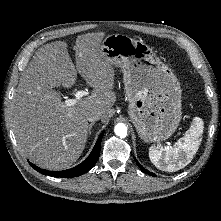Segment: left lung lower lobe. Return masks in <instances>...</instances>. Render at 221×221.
Here are the masks:
<instances>
[{"mask_svg":"<svg viewBox=\"0 0 221 221\" xmlns=\"http://www.w3.org/2000/svg\"><path fill=\"white\" fill-rule=\"evenodd\" d=\"M135 161H136V164L140 167V169H141L144 173L149 174V175H151V176H154V175H155L154 173L149 172V171L146 170L144 167H142V166L138 163L137 160H135Z\"/></svg>","mask_w":221,"mask_h":221,"instance_id":"left-lung-lower-lobe-1","label":"left lung lower lobe"}]
</instances>
